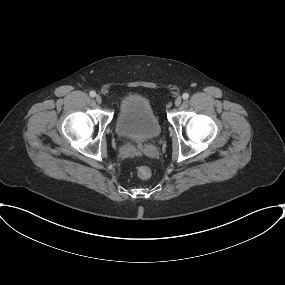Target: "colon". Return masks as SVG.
Wrapping results in <instances>:
<instances>
[{
	"mask_svg": "<svg viewBox=\"0 0 285 285\" xmlns=\"http://www.w3.org/2000/svg\"><path fill=\"white\" fill-rule=\"evenodd\" d=\"M137 175L141 179H147L151 176V170L148 166H140L137 170Z\"/></svg>",
	"mask_w": 285,
	"mask_h": 285,
	"instance_id": "colon-1",
	"label": "colon"
}]
</instances>
